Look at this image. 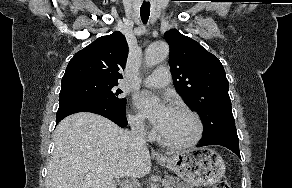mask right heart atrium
Returning <instances> with one entry per match:
<instances>
[{
    "instance_id": "obj_1",
    "label": "right heart atrium",
    "mask_w": 292,
    "mask_h": 188,
    "mask_svg": "<svg viewBox=\"0 0 292 188\" xmlns=\"http://www.w3.org/2000/svg\"><path fill=\"white\" fill-rule=\"evenodd\" d=\"M128 122H129L131 128L135 132L141 133V134L147 132V125H146L144 117L141 114H139V113L129 114L128 115Z\"/></svg>"
}]
</instances>
